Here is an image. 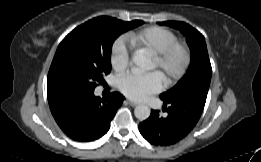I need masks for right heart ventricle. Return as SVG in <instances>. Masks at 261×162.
Returning a JSON list of instances; mask_svg holds the SVG:
<instances>
[{
    "mask_svg": "<svg viewBox=\"0 0 261 162\" xmlns=\"http://www.w3.org/2000/svg\"><path fill=\"white\" fill-rule=\"evenodd\" d=\"M126 39L137 50H148L151 53L160 52L178 42V37L172 31L159 26L129 32Z\"/></svg>",
    "mask_w": 261,
    "mask_h": 162,
    "instance_id": "1",
    "label": "right heart ventricle"
}]
</instances>
